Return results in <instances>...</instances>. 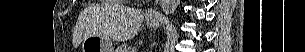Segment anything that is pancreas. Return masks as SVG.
<instances>
[{
	"instance_id": "1",
	"label": "pancreas",
	"mask_w": 305,
	"mask_h": 52,
	"mask_svg": "<svg viewBox=\"0 0 305 52\" xmlns=\"http://www.w3.org/2000/svg\"><path fill=\"white\" fill-rule=\"evenodd\" d=\"M127 48L126 47H121L119 48L118 52H127Z\"/></svg>"
}]
</instances>
